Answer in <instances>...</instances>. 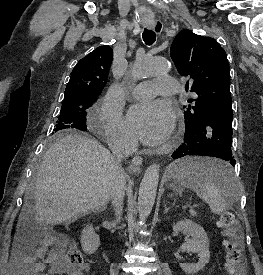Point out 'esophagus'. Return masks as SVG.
I'll use <instances>...</instances> for the list:
<instances>
[{
  "label": "esophagus",
  "instance_id": "obj_1",
  "mask_svg": "<svg viewBox=\"0 0 263 275\" xmlns=\"http://www.w3.org/2000/svg\"><path fill=\"white\" fill-rule=\"evenodd\" d=\"M148 28L154 30L157 34H160L163 30V24L161 22H156L155 24L149 25ZM142 162L143 158L140 155L134 156L130 167L131 170L133 172L137 171L140 168Z\"/></svg>",
  "mask_w": 263,
  "mask_h": 275
}]
</instances>
